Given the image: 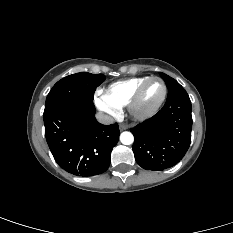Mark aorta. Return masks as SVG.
Returning a JSON list of instances; mask_svg holds the SVG:
<instances>
[{
  "label": "aorta",
  "instance_id": "aorta-1",
  "mask_svg": "<svg viewBox=\"0 0 233 233\" xmlns=\"http://www.w3.org/2000/svg\"><path fill=\"white\" fill-rule=\"evenodd\" d=\"M120 141L124 145H131L134 142V137L131 132L125 131L121 133Z\"/></svg>",
  "mask_w": 233,
  "mask_h": 233
}]
</instances>
